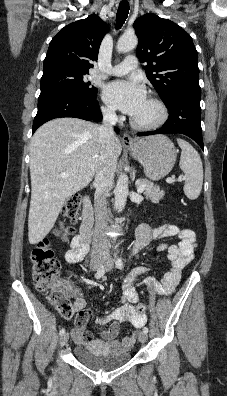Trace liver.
<instances>
[{"label": "liver", "mask_w": 227, "mask_h": 396, "mask_svg": "<svg viewBox=\"0 0 227 396\" xmlns=\"http://www.w3.org/2000/svg\"><path fill=\"white\" fill-rule=\"evenodd\" d=\"M111 146L117 160L122 146L116 136ZM101 150L98 126L79 118H57L35 132L31 139L29 165L30 244H37L47 236L65 200L91 182L99 167Z\"/></svg>", "instance_id": "liver-1"}]
</instances>
